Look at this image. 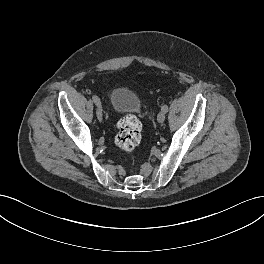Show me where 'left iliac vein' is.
Instances as JSON below:
<instances>
[{
	"instance_id": "1",
	"label": "left iliac vein",
	"mask_w": 264,
	"mask_h": 264,
	"mask_svg": "<svg viewBox=\"0 0 264 264\" xmlns=\"http://www.w3.org/2000/svg\"><path fill=\"white\" fill-rule=\"evenodd\" d=\"M157 120L159 123H163L165 121V112L160 111L157 115Z\"/></svg>"
}]
</instances>
